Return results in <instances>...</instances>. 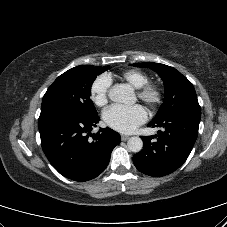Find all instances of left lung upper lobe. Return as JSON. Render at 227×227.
<instances>
[{
  "instance_id": "obj_1",
  "label": "left lung upper lobe",
  "mask_w": 227,
  "mask_h": 227,
  "mask_svg": "<svg viewBox=\"0 0 227 227\" xmlns=\"http://www.w3.org/2000/svg\"><path fill=\"white\" fill-rule=\"evenodd\" d=\"M132 65L154 70L164 82V101L153 121L164 119L182 110H200L194 86L175 68L153 62Z\"/></svg>"
}]
</instances>
